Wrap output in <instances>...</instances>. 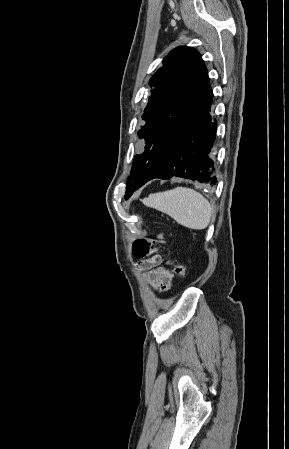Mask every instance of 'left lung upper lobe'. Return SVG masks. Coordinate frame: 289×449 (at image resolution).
I'll use <instances>...</instances> for the list:
<instances>
[{
  "label": "left lung upper lobe",
  "mask_w": 289,
  "mask_h": 449,
  "mask_svg": "<svg viewBox=\"0 0 289 449\" xmlns=\"http://www.w3.org/2000/svg\"><path fill=\"white\" fill-rule=\"evenodd\" d=\"M162 64L149 82L155 88L143 114L146 124L138 132L145 150L134 158L125 198L161 172L166 137L190 117L209 84L204 61L192 47L173 49Z\"/></svg>",
  "instance_id": "obj_1"
}]
</instances>
